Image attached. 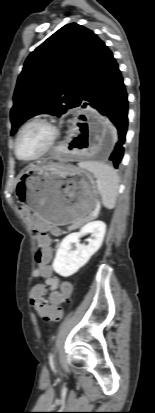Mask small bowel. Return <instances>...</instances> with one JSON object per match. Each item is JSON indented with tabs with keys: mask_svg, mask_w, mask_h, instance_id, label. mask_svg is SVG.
I'll list each match as a JSON object with an SVG mask.
<instances>
[{
	"mask_svg": "<svg viewBox=\"0 0 155 413\" xmlns=\"http://www.w3.org/2000/svg\"><path fill=\"white\" fill-rule=\"evenodd\" d=\"M18 212L23 217V221L29 223V230L30 231H53L57 232L56 228L57 225L54 222H47L46 218H39L38 215H34L32 210L29 209L27 205H20L18 207ZM48 245V243H47ZM49 252L50 249L47 246ZM40 267V266H39ZM39 267L36 268L33 272V276L43 277L42 274L39 272ZM50 267V266H49ZM51 268V267H50ZM45 281L43 283H37L33 286L30 292V296L33 293L39 294L42 297H46V295H52L59 289L58 280L52 277H43Z\"/></svg>",
	"mask_w": 155,
	"mask_h": 413,
	"instance_id": "obj_1",
	"label": "small bowel"
}]
</instances>
